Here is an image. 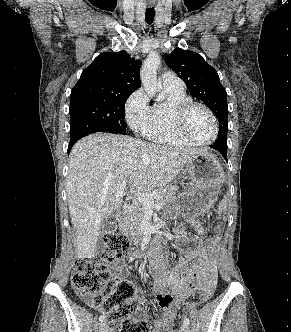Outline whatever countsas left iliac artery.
Masks as SVG:
<instances>
[{
	"instance_id": "1",
	"label": "left iliac artery",
	"mask_w": 291,
	"mask_h": 332,
	"mask_svg": "<svg viewBox=\"0 0 291 332\" xmlns=\"http://www.w3.org/2000/svg\"><path fill=\"white\" fill-rule=\"evenodd\" d=\"M184 323L187 324V325H189V323H190L189 319L188 318H184Z\"/></svg>"
}]
</instances>
